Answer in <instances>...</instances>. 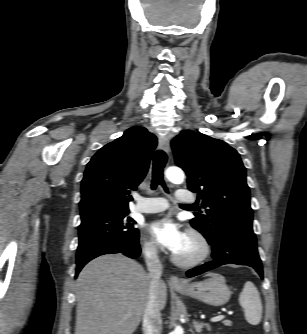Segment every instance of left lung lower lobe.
Returning <instances> with one entry per match:
<instances>
[{"instance_id": "1", "label": "left lung lower lobe", "mask_w": 307, "mask_h": 334, "mask_svg": "<svg viewBox=\"0 0 307 334\" xmlns=\"http://www.w3.org/2000/svg\"><path fill=\"white\" fill-rule=\"evenodd\" d=\"M212 246L213 261L187 271L188 277L202 274L224 264L248 265L261 278L263 270L257 251V240L251 224L228 221L218 224L210 237H205Z\"/></svg>"}]
</instances>
